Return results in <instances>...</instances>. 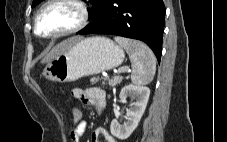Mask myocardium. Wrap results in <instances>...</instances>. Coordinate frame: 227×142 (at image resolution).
I'll return each mask as SVG.
<instances>
[{"instance_id": "obj_1", "label": "myocardium", "mask_w": 227, "mask_h": 142, "mask_svg": "<svg viewBox=\"0 0 227 142\" xmlns=\"http://www.w3.org/2000/svg\"><path fill=\"white\" fill-rule=\"evenodd\" d=\"M55 4H72L76 6L79 11V21L75 26L65 31L58 32L55 34H48V35L42 34L38 31L39 17L47 7ZM89 19H90V8L84 0H47L40 6V8L37 10L35 14L34 33L41 38H47V39L61 38L67 35L74 34L80 31L81 29H83L87 25Z\"/></svg>"}]
</instances>
